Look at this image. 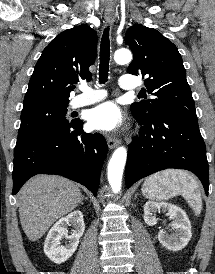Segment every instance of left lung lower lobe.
<instances>
[{"label":"left lung lower lobe","mask_w":215,"mask_h":274,"mask_svg":"<svg viewBox=\"0 0 215 274\" xmlns=\"http://www.w3.org/2000/svg\"><path fill=\"white\" fill-rule=\"evenodd\" d=\"M134 117L143 126L129 145L126 187L157 171L177 168L193 172L208 195V161L197 119L167 113Z\"/></svg>","instance_id":"left-lung-lower-lobe-1"}]
</instances>
